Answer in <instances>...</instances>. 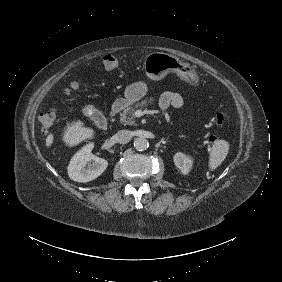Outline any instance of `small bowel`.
<instances>
[{"instance_id": "obj_1", "label": "small bowel", "mask_w": 282, "mask_h": 282, "mask_svg": "<svg viewBox=\"0 0 282 282\" xmlns=\"http://www.w3.org/2000/svg\"><path fill=\"white\" fill-rule=\"evenodd\" d=\"M184 104L183 97L172 91L164 92L159 99V108L162 112H165L170 106L174 108H180Z\"/></svg>"}]
</instances>
